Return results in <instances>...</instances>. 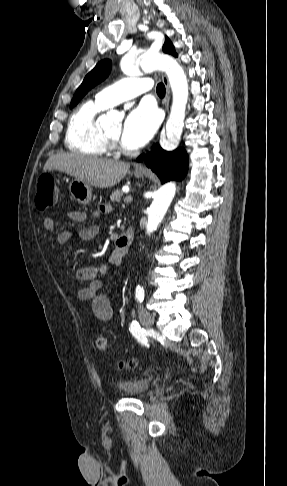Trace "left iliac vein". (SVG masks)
<instances>
[{
	"instance_id": "4c4485c4",
	"label": "left iliac vein",
	"mask_w": 287,
	"mask_h": 486,
	"mask_svg": "<svg viewBox=\"0 0 287 486\" xmlns=\"http://www.w3.org/2000/svg\"><path fill=\"white\" fill-rule=\"evenodd\" d=\"M139 318L142 325L146 328H150L154 323V316L148 312L143 305L139 306Z\"/></svg>"
}]
</instances>
